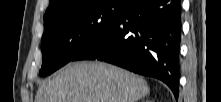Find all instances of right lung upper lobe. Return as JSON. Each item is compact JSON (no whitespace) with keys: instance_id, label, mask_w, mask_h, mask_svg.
<instances>
[{"instance_id":"1","label":"right lung upper lobe","mask_w":221,"mask_h":102,"mask_svg":"<svg viewBox=\"0 0 221 102\" xmlns=\"http://www.w3.org/2000/svg\"><path fill=\"white\" fill-rule=\"evenodd\" d=\"M81 0H50V5L46 10L44 15V21L50 19L60 11L69 7L72 3L78 2Z\"/></svg>"}]
</instances>
